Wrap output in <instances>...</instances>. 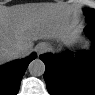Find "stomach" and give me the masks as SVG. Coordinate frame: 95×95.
<instances>
[{"label":"stomach","mask_w":95,"mask_h":95,"mask_svg":"<svg viewBox=\"0 0 95 95\" xmlns=\"http://www.w3.org/2000/svg\"><path fill=\"white\" fill-rule=\"evenodd\" d=\"M78 33H79L78 28L66 32L63 35L62 39L58 41L59 44L56 51H60L63 48V46L66 47L73 46L78 40ZM52 49L54 50V48Z\"/></svg>","instance_id":"1"}]
</instances>
